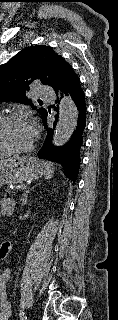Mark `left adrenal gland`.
Masks as SVG:
<instances>
[{"label": "left adrenal gland", "instance_id": "left-adrenal-gland-1", "mask_svg": "<svg viewBox=\"0 0 118 320\" xmlns=\"http://www.w3.org/2000/svg\"><path fill=\"white\" fill-rule=\"evenodd\" d=\"M38 185H41V183L34 185L33 187H28L27 190L24 191L22 197H21V205L24 206L25 204H27V197L28 194L30 193V191L32 189H34L35 187H37Z\"/></svg>", "mask_w": 118, "mask_h": 320}]
</instances>
